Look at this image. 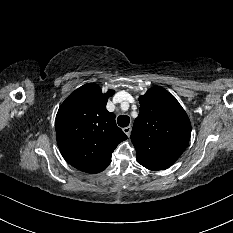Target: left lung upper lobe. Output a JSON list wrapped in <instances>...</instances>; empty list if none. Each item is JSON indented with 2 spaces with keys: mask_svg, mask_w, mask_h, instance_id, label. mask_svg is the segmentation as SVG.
<instances>
[{
  "mask_svg": "<svg viewBox=\"0 0 233 233\" xmlns=\"http://www.w3.org/2000/svg\"><path fill=\"white\" fill-rule=\"evenodd\" d=\"M139 103L140 113L131 132L137 160L157 170L167 169L188 146L190 120L179 102L163 88L149 89Z\"/></svg>",
  "mask_w": 233,
  "mask_h": 233,
  "instance_id": "obj_1",
  "label": "left lung upper lobe"
}]
</instances>
